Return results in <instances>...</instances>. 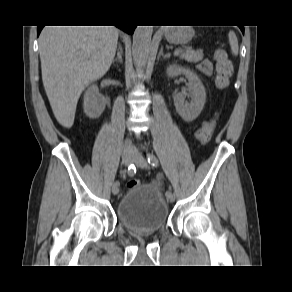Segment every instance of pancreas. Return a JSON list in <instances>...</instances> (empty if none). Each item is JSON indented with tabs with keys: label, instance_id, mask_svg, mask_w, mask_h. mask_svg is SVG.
<instances>
[{
	"label": "pancreas",
	"instance_id": "obj_1",
	"mask_svg": "<svg viewBox=\"0 0 292 292\" xmlns=\"http://www.w3.org/2000/svg\"><path fill=\"white\" fill-rule=\"evenodd\" d=\"M178 51H179L178 55L180 56V58H182L188 62L197 63L203 59L202 51H194L191 48H186L184 50L178 49Z\"/></svg>",
	"mask_w": 292,
	"mask_h": 292
}]
</instances>
